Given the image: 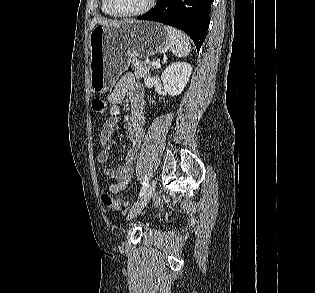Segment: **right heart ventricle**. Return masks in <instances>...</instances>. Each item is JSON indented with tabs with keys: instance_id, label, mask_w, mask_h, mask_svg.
<instances>
[{
	"instance_id": "obj_1",
	"label": "right heart ventricle",
	"mask_w": 315,
	"mask_h": 293,
	"mask_svg": "<svg viewBox=\"0 0 315 293\" xmlns=\"http://www.w3.org/2000/svg\"><path fill=\"white\" fill-rule=\"evenodd\" d=\"M101 10L106 16L118 17L110 10L109 5H108V0H101Z\"/></svg>"
}]
</instances>
